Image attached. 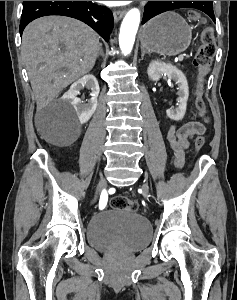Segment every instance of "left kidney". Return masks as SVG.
<instances>
[{"instance_id":"5707ae66","label":"left kidney","mask_w":237,"mask_h":300,"mask_svg":"<svg viewBox=\"0 0 237 300\" xmlns=\"http://www.w3.org/2000/svg\"><path fill=\"white\" fill-rule=\"evenodd\" d=\"M147 73L149 79H152V81H158L161 75H167L168 79H173V81L178 83L179 91L177 95H179V105L177 109H167L166 115L169 119H172V121H181L186 113L189 97V87L185 75H183L182 71H179L177 67L166 65V63H159V61H152Z\"/></svg>"}]
</instances>
